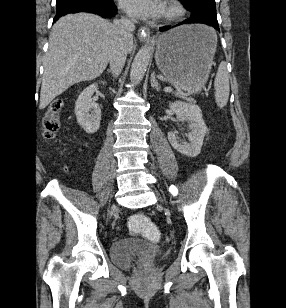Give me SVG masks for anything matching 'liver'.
Returning <instances> with one entry per match:
<instances>
[{
	"instance_id": "liver-1",
	"label": "liver",
	"mask_w": 286,
	"mask_h": 308,
	"mask_svg": "<svg viewBox=\"0 0 286 308\" xmlns=\"http://www.w3.org/2000/svg\"><path fill=\"white\" fill-rule=\"evenodd\" d=\"M116 36L114 26L97 15L61 17L49 37L39 108H46L70 86L99 77L108 65ZM133 47L131 37L126 41L127 53Z\"/></svg>"
}]
</instances>
